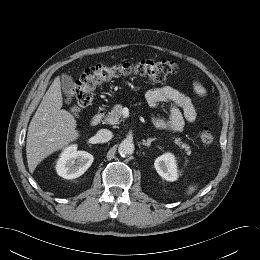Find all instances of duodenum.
Returning a JSON list of instances; mask_svg holds the SVG:
<instances>
[{"mask_svg": "<svg viewBox=\"0 0 260 260\" xmlns=\"http://www.w3.org/2000/svg\"><path fill=\"white\" fill-rule=\"evenodd\" d=\"M105 110L103 108L99 109L90 119V125L91 126H97L102 119L104 118Z\"/></svg>", "mask_w": 260, "mask_h": 260, "instance_id": "obj_1", "label": "duodenum"}]
</instances>
